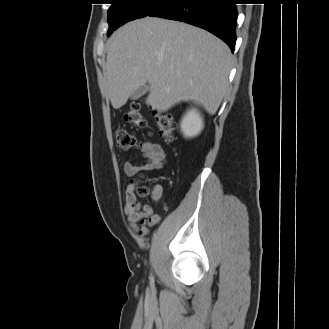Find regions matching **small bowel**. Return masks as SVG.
Returning <instances> with one entry per match:
<instances>
[{
  "label": "small bowel",
  "mask_w": 329,
  "mask_h": 329,
  "mask_svg": "<svg viewBox=\"0 0 329 329\" xmlns=\"http://www.w3.org/2000/svg\"><path fill=\"white\" fill-rule=\"evenodd\" d=\"M141 156L143 162L139 165L128 160L124 163V172L128 177H133L141 172L156 171L164 167L166 153L159 144L144 142L141 145ZM154 199L162 197V186L153 187ZM124 212L130 227L140 235H147L149 227L160 222V216L154 214L149 206L142 205L137 201L134 188L131 185L126 187Z\"/></svg>",
  "instance_id": "small-bowel-1"
}]
</instances>
